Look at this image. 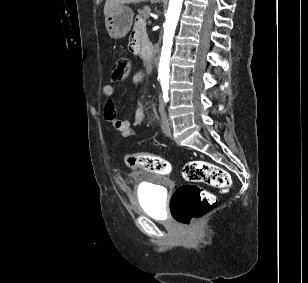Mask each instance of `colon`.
Returning a JSON list of instances; mask_svg holds the SVG:
<instances>
[{"label":"colon","instance_id":"1","mask_svg":"<svg viewBox=\"0 0 308 283\" xmlns=\"http://www.w3.org/2000/svg\"><path fill=\"white\" fill-rule=\"evenodd\" d=\"M130 70V60L126 57L118 58L113 65L112 79L124 80ZM125 163L130 168H141L156 174L171 172V165L167 160L150 153L127 154ZM182 175L188 183L174 191L170 203L173 218L182 225L197 222L216 206L215 196L197 185L198 183H205L220 191H228L232 184L231 177L225 169L201 160L186 163Z\"/></svg>","mask_w":308,"mask_h":283}]
</instances>
